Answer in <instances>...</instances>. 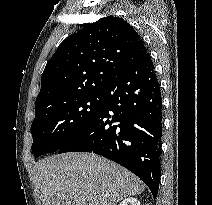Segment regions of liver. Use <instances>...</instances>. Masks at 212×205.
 <instances>
[{
	"label": "liver",
	"mask_w": 212,
	"mask_h": 205,
	"mask_svg": "<svg viewBox=\"0 0 212 205\" xmlns=\"http://www.w3.org/2000/svg\"><path fill=\"white\" fill-rule=\"evenodd\" d=\"M33 177L39 205H116L144 190L130 171L94 153L45 158Z\"/></svg>",
	"instance_id": "6515ba94"
}]
</instances>
